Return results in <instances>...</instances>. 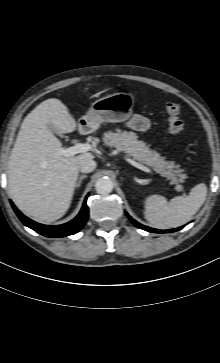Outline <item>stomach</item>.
Returning a JSON list of instances; mask_svg holds the SVG:
<instances>
[{
  "instance_id": "obj_1",
  "label": "stomach",
  "mask_w": 220,
  "mask_h": 363,
  "mask_svg": "<svg viewBox=\"0 0 220 363\" xmlns=\"http://www.w3.org/2000/svg\"><path fill=\"white\" fill-rule=\"evenodd\" d=\"M134 103L135 96L130 92H118L100 98L79 119V128L95 131L103 122H124L131 117Z\"/></svg>"
}]
</instances>
